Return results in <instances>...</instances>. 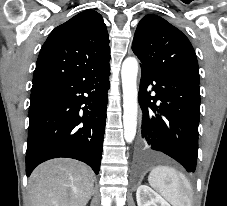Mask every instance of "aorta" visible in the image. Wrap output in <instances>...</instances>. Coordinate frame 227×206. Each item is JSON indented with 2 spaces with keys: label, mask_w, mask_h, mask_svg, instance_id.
Segmentation results:
<instances>
[{
  "label": "aorta",
  "mask_w": 227,
  "mask_h": 206,
  "mask_svg": "<svg viewBox=\"0 0 227 206\" xmlns=\"http://www.w3.org/2000/svg\"><path fill=\"white\" fill-rule=\"evenodd\" d=\"M137 73L138 62L134 57L124 60L121 69L123 88V125L124 138L131 143L136 135L137 127Z\"/></svg>",
  "instance_id": "1"
}]
</instances>
